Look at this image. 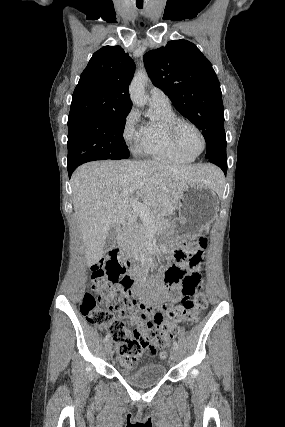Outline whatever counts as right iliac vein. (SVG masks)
Wrapping results in <instances>:
<instances>
[{
  "instance_id": "63e3f726",
  "label": "right iliac vein",
  "mask_w": 285,
  "mask_h": 427,
  "mask_svg": "<svg viewBox=\"0 0 285 427\" xmlns=\"http://www.w3.org/2000/svg\"><path fill=\"white\" fill-rule=\"evenodd\" d=\"M111 349H112V343L111 342H107L106 344H105V351H106V353H110V351H111Z\"/></svg>"
}]
</instances>
